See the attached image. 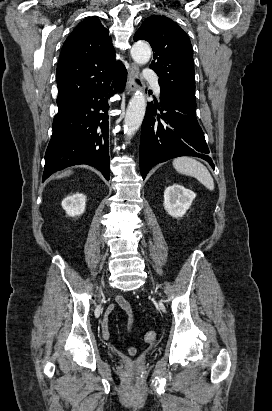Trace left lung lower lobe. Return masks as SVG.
Returning a JSON list of instances; mask_svg holds the SVG:
<instances>
[{"mask_svg":"<svg viewBox=\"0 0 272 411\" xmlns=\"http://www.w3.org/2000/svg\"><path fill=\"white\" fill-rule=\"evenodd\" d=\"M160 96L157 107L161 114L153 113L150 103L142 123L139 157L143 179L154 165L178 156L200 157L214 169L206 155L209 149L196 119V105L164 91Z\"/></svg>","mask_w":272,"mask_h":411,"instance_id":"left-lung-lower-lobe-1","label":"left lung lower lobe"}]
</instances>
